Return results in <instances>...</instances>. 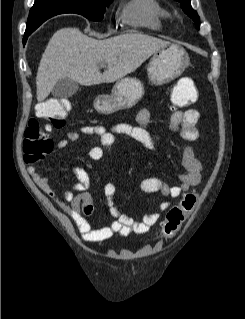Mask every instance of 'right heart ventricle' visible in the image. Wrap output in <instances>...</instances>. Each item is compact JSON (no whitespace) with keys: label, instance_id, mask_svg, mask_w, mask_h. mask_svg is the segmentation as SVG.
I'll return each instance as SVG.
<instances>
[{"label":"right heart ventricle","instance_id":"obj_1","mask_svg":"<svg viewBox=\"0 0 245 319\" xmlns=\"http://www.w3.org/2000/svg\"><path fill=\"white\" fill-rule=\"evenodd\" d=\"M168 13L159 0H128L121 9V19L134 27L160 30Z\"/></svg>","mask_w":245,"mask_h":319}]
</instances>
